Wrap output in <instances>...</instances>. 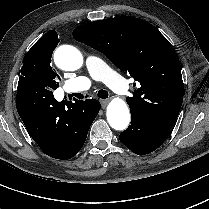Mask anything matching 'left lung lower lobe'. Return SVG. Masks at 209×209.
Masks as SVG:
<instances>
[{
  "label": "left lung lower lobe",
  "instance_id": "0a47b994",
  "mask_svg": "<svg viewBox=\"0 0 209 209\" xmlns=\"http://www.w3.org/2000/svg\"><path fill=\"white\" fill-rule=\"evenodd\" d=\"M169 134V128L131 112V125L120 134L119 139L129 150L145 155L160 147Z\"/></svg>",
  "mask_w": 209,
  "mask_h": 209
}]
</instances>
